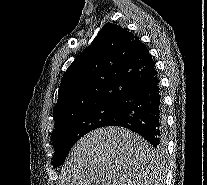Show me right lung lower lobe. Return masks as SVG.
I'll use <instances>...</instances> for the list:
<instances>
[{
  "label": "right lung lower lobe",
  "mask_w": 207,
  "mask_h": 185,
  "mask_svg": "<svg viewBox=\"0 0 207 185\" xmlns=\"http://www.w3.org/2000/svg\"><path fill=\"white\" fill-rule=\"evenodd\" d=\"M120 105L115 121L105 126L128 128L144 137L156 149H163L166 120L157 75L131 90Z\"/></svg>",
  "instance_id": "right-lung-lower-lobe-1"
}]
</instances>
